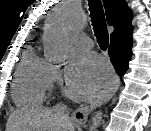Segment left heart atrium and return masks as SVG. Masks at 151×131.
<instances>
[{"label":"left heart atrium","instance_id":"39dd6f15","mask_svg":"<svg viewBox=\"0 0 151 131\" xmlns=\"http://www.w3.org/2000/svg\"><path fill=\"white\" fill-rule=\"evenodd\" d=\"M110 71L104 62L91 53H77L72 57L68 71V85L81 99H94L106 90Z\"/></svg>","mask_w":151,"mask_h":131}]
</instances>
